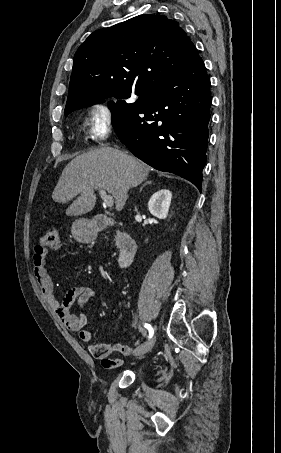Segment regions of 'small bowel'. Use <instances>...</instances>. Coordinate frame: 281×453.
Masks as SVG:
<instances>
[{
  "label": "small bowel",
  "mask_w": 281,
  "mask_h": 453,
  "mask_svg": "<svg viewBox=\"0 0 281 453\" xmlns=\"http://www.w3.org/2000/svg\"><path fill=\"white\" fill-rule=\"evenodd\" d=\"M46 261L47 253L45 250L41 249L34 253L33 274L49 307L57 313L60 321L69 330L77 332L82 341L90 343L88 346L90 354L101 361L105 369L114 370L122 366L125 363V359H112L111 354L113 352L131 354L135 349L113 340L110 344H92V334L89 330L85 329L88 323V317L83 310L90 301L96 298V291L85 285L70 288L65 294L64 304L61 305L54 291L53 279L47 270ZM75 301H78L81 309L80 313L76 315L72 314L69 309L70 304Z\"/></svg>",
  "instance_id": "small-bowel-1"
}]
</instances>
